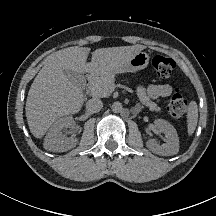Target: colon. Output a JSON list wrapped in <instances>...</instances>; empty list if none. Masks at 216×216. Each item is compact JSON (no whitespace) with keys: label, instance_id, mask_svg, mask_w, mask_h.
<instances>
[{"label":"colon","instance_id":"5ec220e1","mask_svg":"<svg viewBox=\"0 0 216 216\" xmlns=\"http://www.w3.org/2000/svg\"><path fill=\"white\" fill-rule=\"evenodd\" d=\"M153 67L162 78L169 77L172 73L175 62L173 59L165 56H155L152 61ZM187 111V101L180 89H176L169 101L168 112L171 116L177 119H182Z\"/></svg>","mask_w":216,"mask_h":216}]
</instances>
